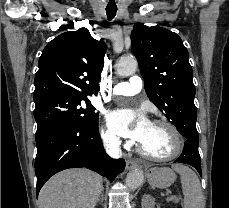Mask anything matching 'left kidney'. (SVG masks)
Instances as JSON below:
<instances>
[{"mask_svg":"<svg viewBox=\"0 0 229 208\" xmlns=\"http://www.w3.org/2000/svg\"><path fill=\"white\" fill-rule=\"evenodd\" d=\"M153 202L154 200L151 198V196H143L142 208H153Z\"/></svg>","mask_w":229,"mask_h":208,"instance_id":"1","label":"left kidney"}]
</instances>
